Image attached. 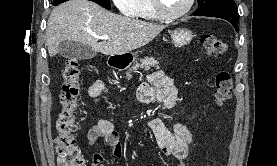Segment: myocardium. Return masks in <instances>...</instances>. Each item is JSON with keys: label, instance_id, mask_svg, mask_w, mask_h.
<instances>
[{"label": "myocardium", "instance_id": "obj_1", "mask_svg": "<svg viewBox=\"0 0 277 166\" xmlns=\"http://www.w3.org/2000/svg\"><path fill=\"white\" fill-rule=\"evenodd\" d=\"M152 1V5L153 8L156 12V14L158 15V17L162 20H166V21H174V20H178L182 17H184L186 14L189 13V11L191 10V8L193 7L194 1L195 0H187L186 5L183 7V9H181L179 12L177 13H168L162 4L161 0H151Z\"/></svg>", "mask_w": 277, "mask_h": 166}]
</instances>
